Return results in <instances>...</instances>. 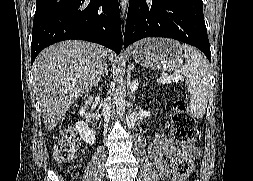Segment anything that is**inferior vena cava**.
Here are the masks:
<instances>
[{"label":"inferior vena cava","instance_id":"1","mask_svg":"<svg viewBox=\"0 0 253 181\" xmlns=\"http://www.w3.org/2000/svg\"><path fill=\"white\" fill-rule=\"evenodd\" d=\"M111 109H112L111 100L110 99L105 100L103 104V112H104L105 118L108 121H110V123H113ZM109 127H112V124H109Z\"/></svg>","mask_w":253,"mask_h":181}]
</instances>
